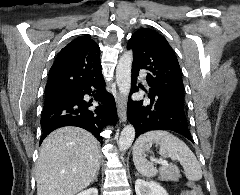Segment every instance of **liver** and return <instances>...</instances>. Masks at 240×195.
Instances as JSON below:
<instances>
[{
	"mask_svg": "<svg viewBox=\"0 0 240 195\" xmlns=\"http://www.w3.org/2000/svg\"><path fill=\"white\" fill-rule=\"evenodd\" d=\"M100 143L82 127L51 131L39 151L37 195H74L90 185L100 169Z\"/></svg>",
	"mask_w": 240,
	"mask_h": 195,
	"instance_id": "obj_1",
	"label": "liver"
}]
</instances>
